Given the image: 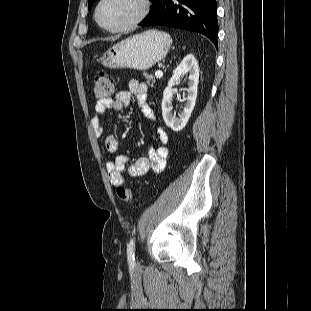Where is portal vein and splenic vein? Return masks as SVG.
<instances>
[{"label": "portal vein and splenic vein", "mask_w": 311, "mask_h": 311, "mask_svg": "<svg viewBox=\"0 0 311 311\" xmlns=\"http://www.w3.org/2000/svg\"><path fill=\"white\" fill-rule=\"evenodd\" d=\"M162 76H163V72L161 70H158V71L155 72V77L156 78H162Z\"/></svg>", "instance_id": "obj_1"}]
</instances>
